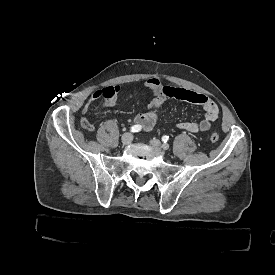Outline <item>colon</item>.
<instances>
[{"label": "colon", "instance_id": "5ec220e1", "mask_svg": "<svg viewBox=\"0 0 275 275\" xmlns=\"http://www.w3.org/2000/svg\"><path fill=\"white\" fill-rule=\"evenodd\" d=\"M155 91H156V88H152V93H155ZM81 125L86 130H93L92 124L85 119L81 121ZM210 140L213 143L217 142L219 140V135L216 132L212 133L210 136Z\"/></svg>", "mask_w": 275, "mask_h": 275}]
</instances>
